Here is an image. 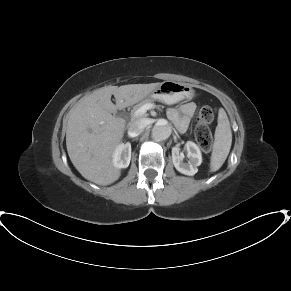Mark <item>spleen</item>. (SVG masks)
Segmentation results:
<instances>
[{"label":"spleen","instance_id":"1","mask_svg":"<svg viewBox=\"0 0 291 291\" xmlns=\"http://www.w3.org/2000/svg\"><path fill=\"white\" fill-rule=\"evenodd\" d=\"M215 140L210 157V171L221 168L229 154L232 144V131L228 116L223 108L218 111V124L215 130Z\"/></svg>","mask_w":291,"mask_h":291}]
</instances>
